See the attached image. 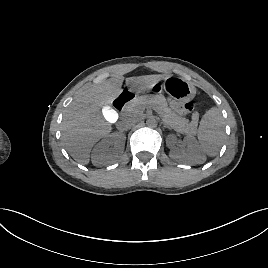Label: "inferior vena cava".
Segmentation results:
<instances>
[{
  "instance_id": "inferior-vena-cava-1",
  "label": "inferior vena cava",
  "mask_w": 268,
  "mask_h": 268,
  "mask_svg": "<svg viewBox=\"0 0 268 268\" xmlns=\"http://www.w3.org/2000/svg\"><path fill=\"white\" fill-rule=\"evenodd\" d=\"M136 118L132 115L124 117L117 125L119 130H128L135 125Z\"/></svg>"
}]
</instances>
